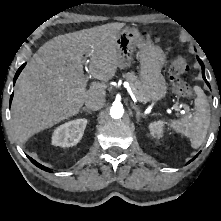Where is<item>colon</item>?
I'll return each mask as SVG.
<instances>
[{
  "label": "colon",
  "instance_id": "5ec220e1",
  "mask_svg": "<svg viewBox=\"0 0 221 221\" xmlns=\"http://www.w3.org/2000/svg\"><path fill=\"white\" fill-rule=\"evenodd\" d=\"M189 70L184 57L175 58L169 65V76L173 90L182 96H191L193 87L184 80L183 76Z\"/></svg>",
  "mask_w": 221,
  "mask_h": 221
}]
</instances>
